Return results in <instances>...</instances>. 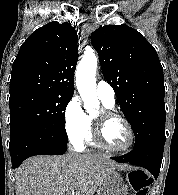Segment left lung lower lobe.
<instances>
[{
	"mask_svg": "<svg viewBox=\"0 0 178 195\" xmlns=\"http://www.w3.org/2000/svg\"><path fill=\"white\" fill-rule=\"evenodd\" d=\"M165 139L151 141L133 148L131 152L121 157H112L117 162H129L148 169L157 179L163 158Z\"/></svg>",
	"mask_w": 178,
	"mask_h": 195,
	"instance_id": "1",
	"label": "left lung lower lobe"
}]
</instances>
